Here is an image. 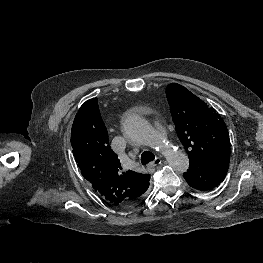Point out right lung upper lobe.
Returning <instances> with one entry per match:
<instances>
[{"instance_id": "obj_1", "label": "right lung upper lobe", "mask_w": 263, "mask_h": 263, "mask_svg": "<svg viewBox=\"0 0 263 263\" xmlns=\"http://www.w3.org/2000/svg\"><path fill=\"white\" fill-rule=\"evenodd\" d=\"M71 144L83 177L107 203L121 207L148 189L150 175L123 172L109 145L96 98L86 101L76 114Z\"/></svg>"}]
</instances>
